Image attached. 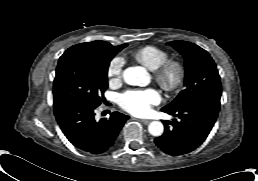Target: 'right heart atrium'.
Segmentation results:
<instances>
[{"mask_svg":"<svg viewBox=\"0 0 258 181\" xmlns=\"http://www.w3.org/2000/svg\"><path fill=\"white\" fill-rule=\"evenodd\" d=\"M125 60L123 57L116 56L109 63L107 76L111 81H119L122 78Z\"/></svg>","mask_w":258,"mask_h":181,"instance_id":"d8ad5b80","label":"right heart atrium"}]
</instances>
